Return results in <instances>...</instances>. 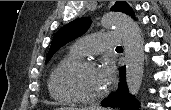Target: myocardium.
I'll use <instances>...</instances> for the list:
<instances>
[{"instance_id":"f54148a6","label":"myocardium","mask_w":171,"mask_h":110,"mask_svg":"<svg viewBox=\"0 0 171 110\" xmlns=\"http://www.w3.org/2000/svg\"><path fill=\"white\" fill-rule=\"evenodd\" d=\"M80 68H89V69H96V66L93 62L84 59H75L72 61L67 62L64 64L58 71L56 75V86L59 92L70 99L71 101L83 104H93L101 101L104 99L109 93V87L107 86L106 89L99 95L94 97H85L81 96L75 92H73L65 83V77L68 73L73 70L80 69Z\"/></svg>"}]
</instances>
